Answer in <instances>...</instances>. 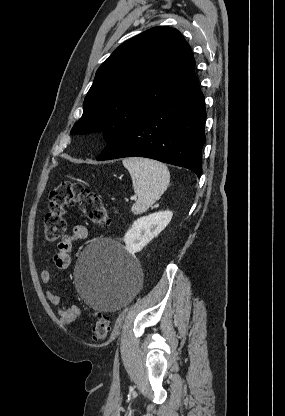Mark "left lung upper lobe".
I'll return each mask as SVG.
<instances>
[{"label":"left lung upper lobe","instance_id":"5c2ea615","mask_svg":"<svg viewBox=\"0 0 285 416\" xmlns=\"http://www.w3.org/2000/svg\"><path fill=\"white\" fill-rule=\"evenodd\" d=\"M189 44L173 28H151L121 44L96 72L71 134L103 131L106 143L174 97L195 77Z\"/></svg>","mask_w":285,"mask_h":416}]
</instances>
